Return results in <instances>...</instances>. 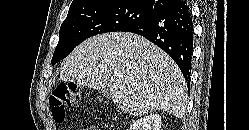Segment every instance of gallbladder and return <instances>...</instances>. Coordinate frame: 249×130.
<instances>
[{
  "instance_id": "obj_1",
  "label": "gallbladder",
  "mask_w": 249,
  "mask_h": 130,
  "mask_svg": "<svg viewBox=\"0 0 249 130\" xmlns=\"http://www.w3.org/2000/svg\"><path fill=\"white\" fill-rule=\"evenodd\" d=\"M102 93L105 97H110L111 96V93H110V90L109 89H103L102 90Z\"/></svg>"
}]
</instances>
